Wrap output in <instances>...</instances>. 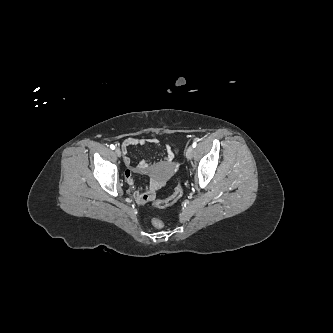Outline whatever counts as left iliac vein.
<instances>
[{
    "label": "left iliac vein",
    "instance_id": "left-iliac-vein-1",
    "mask_svg": "<svg viewBox=\"0 0 333 333\" xmlns=\"http://www.w3.org/2000/svg\"><path fill=\"white\" fill-rule=\"evenodd\" d=\"M193 152H194L193 147H192V146H189V147L187 148V150H186V157H187L188 159H191L192 156H193Z\"/></svg>",
    "mask_w": 333,
    "mask_h": 333
}]
</instances>
